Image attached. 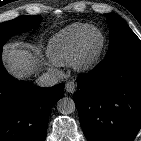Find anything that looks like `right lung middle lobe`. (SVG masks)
<instances>
[{
	"label": "right lung middle lobe",
	"mask_w": 141,
	"mask_h": 141,
	"mask_svg": "<svg viewBox=\"0 0 141 141\" xmlns=\"http://www.w3.org/2000/svg\"><path fill=\"white\" fill-rule=\"evenodd\" d=\"M42 20L39 15L20 16L11 21L0 24V46H2L10 36L26 32L36 27Z\"/></svg>",
	"instance_id": "1"
}]
</instances>
